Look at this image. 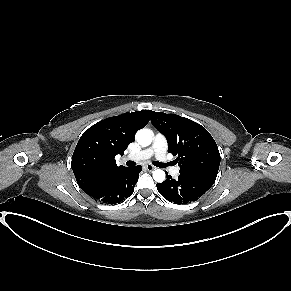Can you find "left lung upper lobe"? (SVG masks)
<instances>
[{"instance_id": "1", "label": "left lung upper lobe", "mask_w": 291, "mask_h": 291, "mask_svg": "<svg viewBox=\"0 0 291 291\" xmlns=\"http://www.w3.org/2000/svg\"><path fill=\"white\" fill-rule=\"evenodd\" d=\"M150 116L153 126L167 138L168 152L178 156L180 173L216 179L220 153L203 126L176 114L152 111Z\"/></svg>"}]
</instances>
